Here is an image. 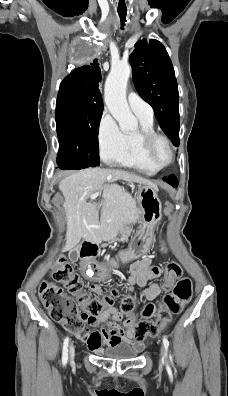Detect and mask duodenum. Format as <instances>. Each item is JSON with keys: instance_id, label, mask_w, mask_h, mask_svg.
<instances>
[{"instance_id": "duodenum-1", "label": "duodenum", "mask_w": 228, "mask_h": 396, "mask_svg": "<svg viewBox=\"0 0 228 396\" xmlns=\"http://www.w3.org/2000/svg\"><path fill=\"white\" fill-rule=\"evenodd\" d=\"M82 251L87 256H93L98 251V245L92 238H87L82 245Z\"/></svg>"}]
</instances>
